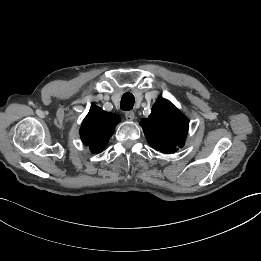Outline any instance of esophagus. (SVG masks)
<instances>
[{"label":"esophagus","instance_id":"esophagus-1","mask_svg":"<svg viewBox=\"0 0 261 261\" xmlns=\"http://www.w3.org/2000/svg\"><path fill=\"white\" fill-rule=\"evenodd\" d=\"M125 118H126L128 121L134 120V118H135L134 112H133V111H126V112H125Z\"/></svg>","mask_w":261,"mask_h":261}]
</instances>
